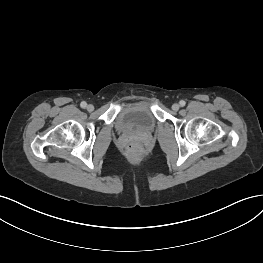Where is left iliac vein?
Here are the masks:
<instances>
[{"instance_id": "left-iliac-vein-1", "label": "left iliac vein", "mask_w": 263, "mask_h": 263, "mask_svg": "<svg viewBox=\"0 0 263 263\" xmlns=\"http://www.w3.org/2000/svg\"><path fill=\"white\" fill-rule=\"evenodd\" d=\"M179 108H180V105L177 104V103H175V104L172 105V110H173V111H178Z\"/></svg>"}]
</instances>
